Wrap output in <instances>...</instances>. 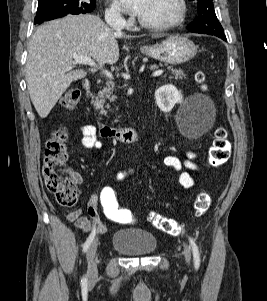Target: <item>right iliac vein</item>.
Returning <instances> with one entry per match:
<instances>
[{"mask_svg": "<svg viewBox=\"0 0 267 301\" xmlns=\"http://www.w3.org/2000/svg\"><path fill=\"white\" fill-rule=\"evenodd\" d=\"M98 241L94 240L89 246L86 259H87V277L90 282L94 281L98 276L97 264L95 262V255L97 251Z\"/></svg>", "mask_w": 267, "mask_h": 301, "instance_id": "63e3f726", "label": "right iliac vein"}]
</instances>
